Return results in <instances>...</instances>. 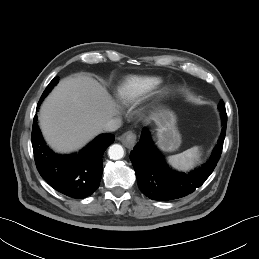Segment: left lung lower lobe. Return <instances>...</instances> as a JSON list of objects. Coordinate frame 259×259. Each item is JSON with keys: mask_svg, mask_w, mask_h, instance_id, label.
I'll list each match as a JSON object with an SVG mask.
<instances>
[{"mask_svg": "<svg viewBox=\"0 0 259 259\" xmlns=\"http://www.w3.org/2000/svg\"><path fill=\"white\" fill-rule=\"evenodd\" d=\"M221 113L222 132L210 159L187 174L173 171L166 164L153 145L148 129L144 128L141 139L130 153L141 192L153 200L168 201L194 192L213 172L222 153L226 135L227 114L225 107H218Z\"/></svg>", "mask_w": 259, "mask_h": 259, "instance_id": "0a47b994", "label": "left lung lower lobe"}]
</instances>
